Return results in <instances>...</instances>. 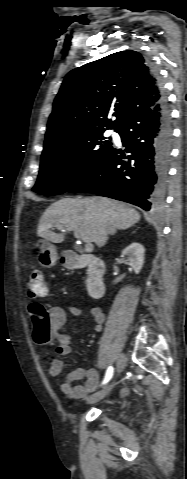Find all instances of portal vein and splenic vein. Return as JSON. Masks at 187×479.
I'll use <instances>...</instances> for the list:
<instances>
[{"label": "portal vein and splenic vein", "mask_w": 187, "mask_h": 479, "mask_svg": "<svg viewBox=\"0 0 187 479\" xmlns=\"http://www.w3.org/2000/svg\"><path fill=\"white\" fill-rule=\"evenodd\" d=\"M76 238H79L77 234H75ZM93 250V244L91 242H87L85 245V251L86 252H91Z\"/></svg>", "instance_id": "1"}]
</instances>
